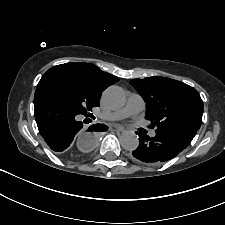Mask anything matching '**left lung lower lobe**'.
<instances>
[{
  "mask_svg": "<svg viewBox=\"0 0 225 225\" xmlns=\"http://www.w3.org/2000/svg\"><path fill=\"white\" fill-rule=\"evenodd\" d=\"M198 130L179 129L156 133L155 137L139 136V146L132 152L133 159L147 165H158L166 162L181 151L192 141Z\"/></svg>",
  "mask_w": 225,
  "mask_h": 225,
  "instance_id": "1",
  "label": "left lung lower lobe"
}]
</instances>
